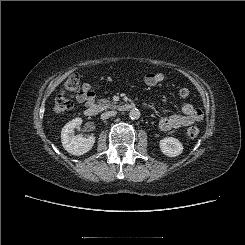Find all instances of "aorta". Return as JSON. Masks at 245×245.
I'll return each instance as SVG.
<instances>
[{"label": "aorta", "mask_w": 245, "mask_h": 245, "mask_svg": "<svg viewBox=\"0 0 245 245\" xmlns=\"http://www.w3.org/2000/svg\"><path fill=\"white\" fill-rule=\"evenodd\" d=\"M129 117L132 119V120H136V119H139L140 117V111L138 109H132L130 110L129 112Z\"/></svg>", "instance_id": "1"}]
</instances>
